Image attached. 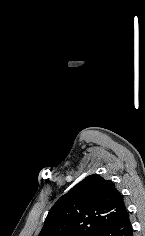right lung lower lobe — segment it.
I'll return each mask as SVG.
<instances>
[{"label": "right lung lower lobe", "instance_id": "right-lung-lower-lobe-1", "mask_svg": "<svg viewBox=\"0 0 145 236\" xmlns=\"http://www.w3.org/2000/svg\"><path fill=\"white\" fill-rule=\"evenodd\" d=\"M96 236H133V229L126 210L117 219L99 231Z\"/></svg>", "mask_w": 145, "mask_h": 236}]
</instances>
